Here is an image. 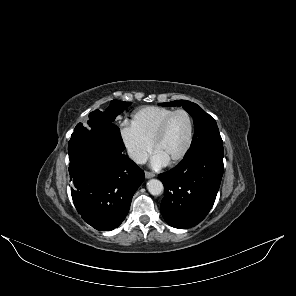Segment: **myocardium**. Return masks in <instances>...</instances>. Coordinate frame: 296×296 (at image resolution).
Wrapping results in <instances>:
<instances>
[{"label": "myocardium", "instance_id": "1", "mask_svg": "<svg viewBox=\"0 0 296 296\" xmlns=\"http://www.w3.org/2000/svg\"><path fill=\"white\" fill-rule=\"evenodd\" d=\"M180 113L185 114L189 120V124H190L189 137H188V141H187L186 146L184 147L183 151L177 157H175L173 160H171L170 162L167 163V165H170V166L175 165V164L179 163L180 161H182L187 156V154L189 153V151L191 149L193 139H194V132H195V123H194V118H193L192 114L185 109L174 110L171 114H169L163 120V122L159 126V128L153 138V141L151 143V149L153 152H155L156 146L162 140L170 121L173 119L174 116H176L177 114H180Z\"/></svg>", "mask_w": 296, "mask_h": 296}]
</instances>
